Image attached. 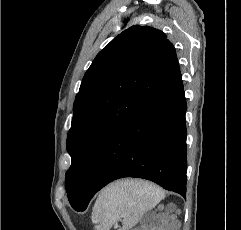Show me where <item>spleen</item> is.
<instances>
[{"label": "spleen", "instance_id": "1", "mask_svg": "<svg viewBox=\"0 0 241 230\" xmlns=\"http://www.w3.org/2000/svg\"><path fill=\"white\" fill-rule=\"evenodd\" d=\"M163 198L164 191L147 181L124 179L112 183L100 192L94 204L95 230H109L120 219L119 230H129Z\"/></svg>", "mask_w": 241, "mask_h": 230}]
</instances>
